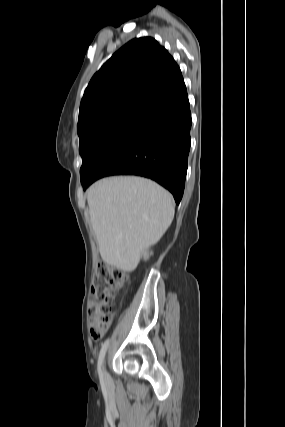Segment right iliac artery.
Wrapping results in <instances>:
<instances>
[{
	"label": "right iliac artery",
	"instance_id": "1",
	"mask_svg": "<svg viewBox=\"0 0 285 427\" xmlns=\"http://www.w3.org/2000/svg\"><path fill=\"white\" fill-rule=\"evenodd\" d=\"M108 344H109V339H107L104 342V344L102 345L101 350H100V354H99V358H98V374H99L101 382L104 381V375H103V371H102V362H103V358H104L105 352L107 350Z\"/></svg>",
	"mask_w": 285,
	"mask_h": 427
}]
</instances>
